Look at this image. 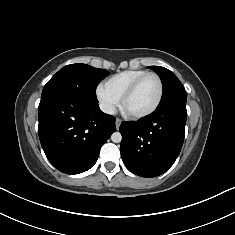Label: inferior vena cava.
I'll use <instances>...</instances> for the list:
<instances>
[{"mask_svg": "<svg viewBox=\"0 0 235 235\" xmlns=\"http://www.w3.org/2000/svg\"><path fill=\"white\" fill-rule=\"evenodd\" d=\"M100 109L107 114H115L116 113V108L113 105H109V104H101L100 105Z\"/></svg>", "mask_w": 235, "mask_h": 235, "instance_id": "inferior-vena-cava-1", "label": "inferior vena cava"}]
</instances>
